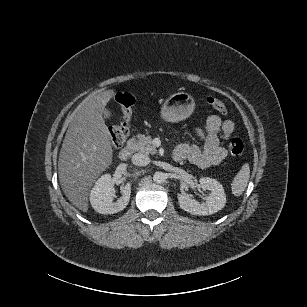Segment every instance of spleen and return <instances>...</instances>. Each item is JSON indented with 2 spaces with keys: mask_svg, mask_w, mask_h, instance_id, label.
<instances>
[{
  "mask_svg": "<svg viewBox=\"0 0 307 307\" xmlns=\"http://www.w3.org/2000/svg\"><path fill=\"white\" fill-rule=\"evenodd\" d=\"M249 179V166L244 165L242 169L239 171L237 176L234 178V182L232 184V192L235 196H239L245 190Z\"/></svg>",
  "mask_w": 307,
  "mask_h": 307,
  "instance_id": "spleen-1",
  "label": "spleen"
}]
</instances>
